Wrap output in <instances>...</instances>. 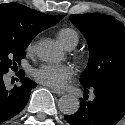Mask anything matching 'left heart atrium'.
Returning <instances> with one entry per match:
<instances>
[{
	"instance_id": "obj_1",
	"label": "left heart atrium",
	"mask_w": 125,
	"mask_h": 125,
	"mask_svg": "<svg viewBox=\"0 0 125 125\" xmlns=\"http://www.w3.org/2000/svg\"><path fill=\"white\" fill-rule=\"evenodd\" d=\"M73 76V70L65 64H42L33 71V77L40 83L60 88L64 86Z\"/></svg>"
}]
</instances>
